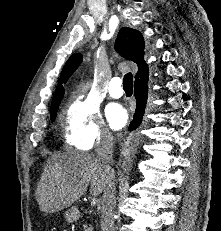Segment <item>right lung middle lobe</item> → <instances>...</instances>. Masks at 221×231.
Listing matches in <instances>:
<instances>
[{
  "mask_svg": "<svg viewBox=\"0 0 221 231\" xmlns=\"http://www.w3.org/2000/svg\"><path fill=\"white\" fill-rule=\"evenodd\" d=\"M58 105L59 104H56L54 107L51 108V111H50L51 120H54L55 117H56V112H57V109H58Z\"/></svg>",
  "mask_w": 221,
  "mask_h": 231,
  "instance_id": "1",
  "label": "right lung middle lobe"
}]
</instances>
